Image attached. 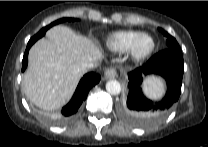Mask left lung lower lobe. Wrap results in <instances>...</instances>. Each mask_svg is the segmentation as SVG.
<instances>
[{
	"instance_id": "obj_1",
	"label": "left lung lower lobe",
	"mask_w": 208,
	"mask_h": 147,
	"mask_svg": "<svg viewBox=\"0 0 208 147\" xmlns=\"http://www.w3.org/2000/svg\"><path fill=\"white\" fill-rule=\"evenodd\" d=\"M158 74L167 82L166 96L154 104L141 91L142 76ZM184 62L181 51L165 49L155 54L143 67L128 74L129 95L127 104L122 107V116L134 123L145 121L151 114L163 115L178 101L181 93Z\"/></svg>"
}]
</instances>
